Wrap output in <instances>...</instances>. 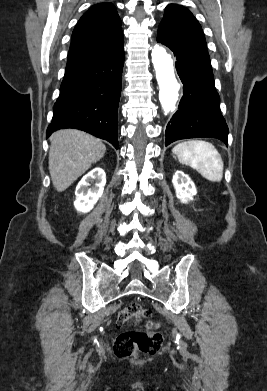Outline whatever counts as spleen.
<instances>
[{
    "mask_svg": "<svg viewBox=\"0 0 267 391\" xmlns=\"http://www.w3.org/2000/svg\"><path fill=\"white\" fill-rule=\"evenodd\" d=\"M172 153L180 163L191 166L207 180H222L224 164L213 144L202 140H189L177 144Z\"/></svg>",
    "mask_w": 267,
    "mask_h": 391,
    "instance_id": "spleen-1",
    "label": "spleen"
}]
</instances>
